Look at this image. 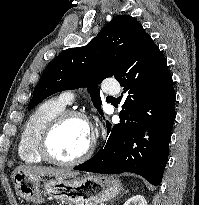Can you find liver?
Returning <instances> with one entry per match:
<instances>
[{
	"label": "liver",
	"mask_w": 199,
	"mask_h": 205,
	"mask_svg": "<svg viewBox=\"0 0 199 205\" xmlns=\"http://www.w3.org/2000/svg\"><path fill=\"white\" fill-rule=\"evenodd\" d=\"M17 172H23L26 174L40 176V177L47 176V177L74 178L79 175V172L71 171L69 169L23 165V166H18L13 171L12 179L15 173Z\"/></svg>",
	"instance_id": "6515ba94"
}]
</instances>
